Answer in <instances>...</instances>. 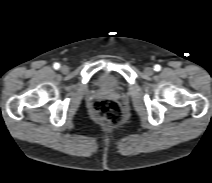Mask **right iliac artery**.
<instances>
[{"instance_id":"1","label":"right iliac artery","mask_w":212,"mask_h":183,"mask_svg":"<svg viewBox=\"0 0 212 183\" xmlns=\"http://www.w3.org/2000/svg\"><path fill=\"white\" fill-rule=\"evenodd\" d=\"M53 67H54L55 69H59V68H60V64H59V63H55V64L53 65Z\"/></svg>"}]
</instances>
